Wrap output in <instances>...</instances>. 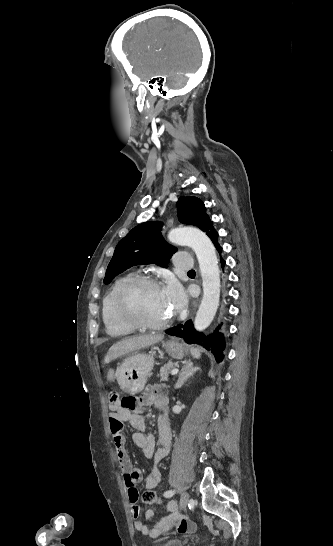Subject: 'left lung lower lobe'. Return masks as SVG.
<instances>
[{"instance_id": "obj_1", "label": "left lung lower lobe", "mask_w": 333, "mask_h": 546, "mask_svg": "<svg viewBox=\"0 0 333 546\" xmlns=\"http://www.w3.org/2000/svg\"><path fill=\"white\" fill-rule=\"evenodd\" d=\"M207 235L212 240L217 251L221 253L222 247L218 243V233L216 232L212 224ZM220 262L222 264V268H224L225 261L221 258ZM165 332L172 336L181 337L185 340V342L189 344L196 343L202 345L205 349L212 351L217 362H221L224 357L223 350L225 349V341L224 335L219 332V326L216 328L214 333L206 336L201 332H197L194 329L192 321L189 320L184 325H177L173 328L166 330Z\"/></svg>"}]
</instances>
